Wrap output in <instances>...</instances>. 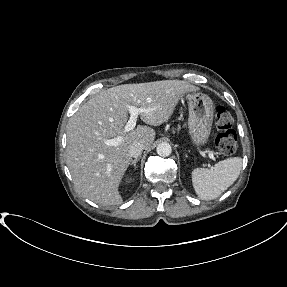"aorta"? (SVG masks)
<instances>
[{
  "instance_id": "762f6f07",
  "label": "aorta",
  "mask_w": 287,
  "mask_h": 287,
  "mask_svg": "<svg viewBox=\"0 0 287 287\" xmlns=\"http://www.w3.org/2000/svg\"><path fill=\"white\" fill-rule=\"evenodd\" d=\"M156 151L159 156L168 157L172 152V147L169 143L162 142L157 145Z\"/></svg>"
}]
</instances>
